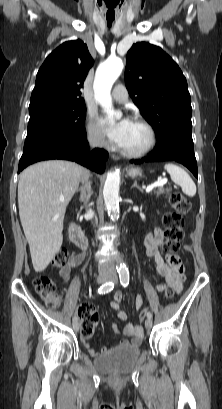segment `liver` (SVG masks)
Instances as JSON below:
<instances>
[{"mask_svg":"<svg viewBox=\"0 0 222 409\" xmlns=\"http://www.w3.org/2000/svg\"><path fill=\"white\" fill-rule=\"evenodd\" d=\"M85 171L70 161L48 160L20 174L19 216L36 272L45 270L61 248L65 211Z\"/></svg>","mask_w":222,"mask_h":409,"instance_id":"obj_1","label":"liver"}]
</instances>
